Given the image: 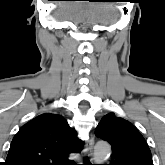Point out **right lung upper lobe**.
Masks as SVG:
<instances>
[{
    "instance_id": "cb5924a9",
    "label": "right lung upper lobe",
    "mask_w": 165,
    "mask_h": 165,
    "mask_svg": "<svg viewBox=\"0 0 165 165\" xmlns=\"http://www.w3.org/2000/svg\"><path fill=\"white\" fill-rule=\"evenodd\" d=\"M83 142L60 115L45 113L22 126L14 136L5 165H64Z\"/></svg>"
}]
</instances>
